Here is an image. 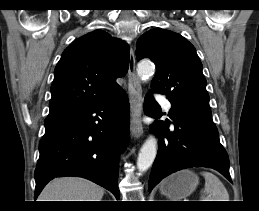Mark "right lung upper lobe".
<instances>
[{
	"instance_id": "cb5924a9",
	"label": "right lung upper lobe",
	"mask_w": 259,
	"mask_h": 211,
	"mask_svg": "<svg viewBox=\"0 0 259 211\" xmlns=\"http://www.w3.org/2000/svg\"><path fill=\"white\" fill-rule=\"evenodd\" d=\"M129 66V47L102 30L74 40L62 53L51 85L49 114L84 109L123 91L116 84Z\"/></svg>"
}]
</instances>
